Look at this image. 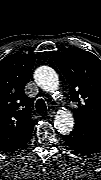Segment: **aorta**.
I'll return each instance as SVG.
<instances>
[{"label":"aorta","mask_w":101,"mask_h":180,"mask_svg":"<svg viewBox=\"0 0 101 180\" xmlns=\"http://www.w3.org/2000/svg\"><path fill=\"white\" fill-rule=\"evenodd\" d=\"M36 81L41 89L52 94L55 98H60L59 79L57 74L50 68H41L36 74ZM74 124L72 113L62 107L55 116V126L60 132L69 131Z\"/></svg>","instance_id":"aorta-1"}]
</instances>
